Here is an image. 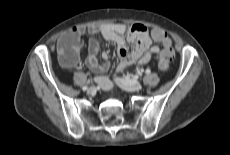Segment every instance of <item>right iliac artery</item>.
I'll return each mask as SVG.
<instances>
[{"label":"right iliac artery","instance_id":"right-iliac-artery-1","mask_svg":"<svg viewBox=\"0 0 230 155\" xmlns=\"http://www.w3.org/2000/svg\"><path fill=\"white\" fill-rule=\"evenodd\" d=\"M82 89H83V90H86V89H87V86L82 87Z\"/></svg>","mask_w":230,"mask_h":155}]
</instances>
